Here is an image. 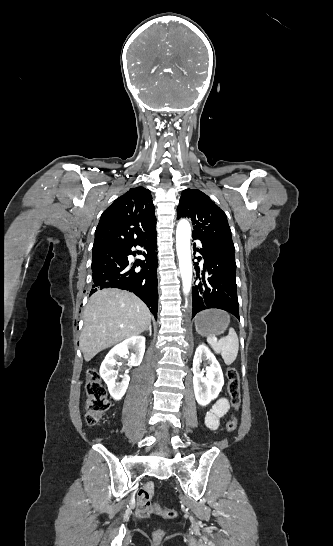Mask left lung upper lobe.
<instances>
[{
  "mask_svg": "<svg viewBox=\"0 0 333 546\" xmlns=\"http://www.w3.org/2000/svg\"><path fill=\"white\" fill-rule=\"evenodd\" d=\"M189 218L193 224V234L221 244L232 253L235 252L231 230L225 213L203 192L186 189L182 192L177 208V218ZM217 272L228 270V263H218Z\"/></svg>",
  "mask_w": 333,
  "mask_h": 546,
  "instance_id": "left-lung-upper-lobe-1",
  "label": "left lung upper lobe"
}]
</instances>
